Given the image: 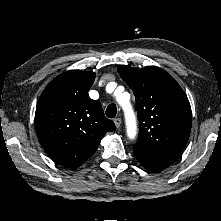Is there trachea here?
Listing matches in <instances>:
<instances>
[{"instance_id": "trachea-1", "label": "trachea", "mask_w": 221, "mask_h": 221, "mask_svg": "<svg viewBox=\"0 0 221 221\" xmlns=\"http://www.w3.org/2000/svg\"><path fill=\"white\" fill-rule=\"evenodd\" d=\"M117 113V108L115 104H110L106 109V116L108 118H114Z\"/></svg>"}]
</instances>
